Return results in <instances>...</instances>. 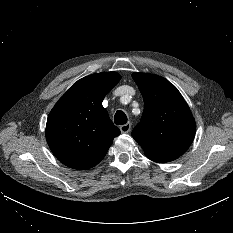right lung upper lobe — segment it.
Instances as JSON below:
<instances>
[{
    "instance_id": "cb5924a9",
    "label": "right lung upper lobe",
    "mask_w": 233,
    "mask_h": 233,
    "mask_svg": "<svg viewBox=\"0 0 233 233\" xmlns=\"http://www.w3.org/2000/svg\"><path fill=\"white\" fill-rule=\"evenodd\" d=\"M116 72L78 80L56 103L46 124V140L64 165L78 170L97 165L120 130L112 123L102 101L119 82Z\"/></svg>"
}]
</instances>
